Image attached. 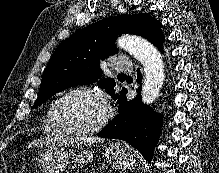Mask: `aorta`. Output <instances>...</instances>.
Segmentation results:
<instances>
[{
    "label": "aorta",
    "mask_w": 219,
    "mask_h": 173,
    "mask_svg": "<svg viewBox=\"0 0 219 173\" xmlns=\"http://www.w3.org/2000/svg\"><path fill=\"white\" fill-rule=\"evenodd\" d=\"M117 46L142 64L145 73L142 102L152 104L159 96L165 79L160 52L147 40L134 35L121 36L117 40Z\"/></svg>",
    "instance_id": "1"
}]
</instances>
